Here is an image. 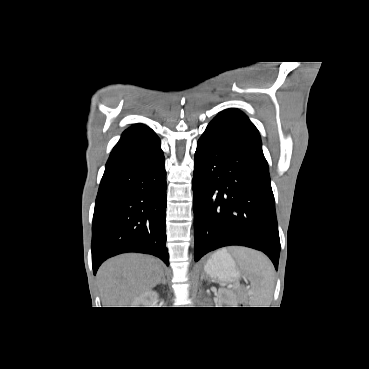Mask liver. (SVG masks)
<instances>
[{
  "instance_id": "6515ba94",
  "label": "liver",
  "mask_w": 369,
  "mask_h": 369,
  "mask_svg": "<svg viewBox=\"0 0 369 369\" xmlns=\"http://www.w3.org/2000/svg\"><path fill=\"white\" fill-rule=\"evenodd\" d=\"M160 260L143 254H122L104 262L98 270L103 307H124L150 291L162 278Z\"/></svg>"
}]
</instances>
